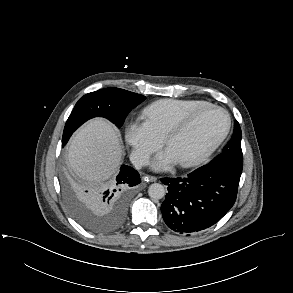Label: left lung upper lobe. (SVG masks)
Wrapping results in <instances>:
<instances>
[{"mask_svg":"<svg viewBox=\"0 0 293 293\" xmlns=\"http://www.w3.org/2000/svg\"><path fill=\"white\" fill-rule=\"evenodd\" d=\"M242 132L240 125L235 121L234 132L230 141L223 148L222 153L214 158L209 164L223 166L237 174L242 173Z\"/></svg>","mask_w":293,"mask_h":293,"instance_id":"obj_1","label":"left lung upper lobe"}]
</instances>
